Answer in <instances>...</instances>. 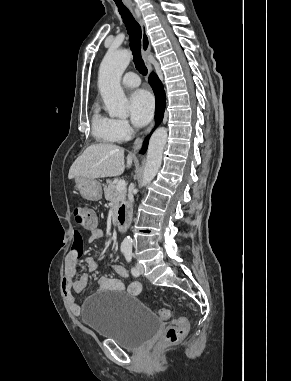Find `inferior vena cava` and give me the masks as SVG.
Instances as JSON below:
<instances>
[{
	"instance_id": "inferior-vena-cava-1",
	"label": "inferior vena cava",
	"mask_w": 291,
	"mask_h": 381,
	"mask_svg": "<svg viewBox=\"0 0 291 381\" xmlns=\"http://www.w3.org/2000/svg\"><path fill=\"white\" fill-rule=\"evenodd\" d=\"M128 199H129V201H130L131 203H133L134 198H133V194H132V193H129V195H128Z\"/></svg>"
}]
</instances>
